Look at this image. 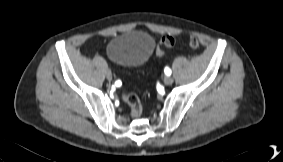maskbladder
Instances as JSON below:
<instances>
[{
    "label": "bladder",
    "mask_w": 283,
    "mask_h": 162,
    "mask_svg": "<svg viewBox=\"0 0 283 162\" xmlns=\"http://www.w3.org/2000/svg\"><path fill=\"white\" fill-rule=\"evenodd\" d=\"M155 50L154 38L146 32L130 30L114 37L108 44V55L117 63L139 66L145 63Z\"/></svg>",
    "instance_id": "31cf9c89"
}]
</instances>
